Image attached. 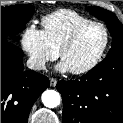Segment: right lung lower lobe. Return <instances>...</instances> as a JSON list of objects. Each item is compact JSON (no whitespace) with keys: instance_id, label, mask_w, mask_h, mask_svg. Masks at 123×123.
Masks as SVG:
<instances>
[{"instance_id":"1","label":"right lung lower lobe","mask_w":123,"mask_h":123,"mask_svg":"<svg viewBox=\"0 0 123 123\" xmlns=\"http://www.w3.org/2000/svg\"><path fill=\"white\" fill-rule=\"evenodd\" d=\"M48 87L46 76L24 70L21 49L1 41V123H27L32 105Z\"/></svg>"}]
</instances>
